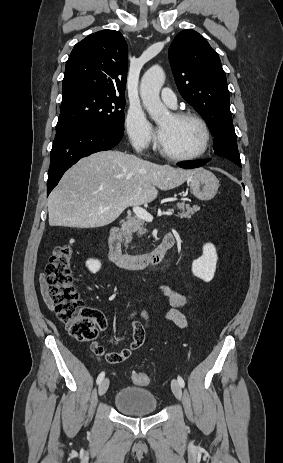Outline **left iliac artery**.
<instances>
[{
	"instance_id": "44dca946",
	"label": "left iliac artery",
	"mask_w": 283,
	"mask_h": 463,
	"mask_svg": "<svg viewBox=\"0 0 283 463\" xmlns=\"http://www.w3.org/2000/svg\"><path fill=\"white\" fill-rule=\"evenodd\" d=\"M178 382H179L181 387L185 386V382H184V380H183V378L181 376H178Z\"/></svg>"
}]
</instances>
